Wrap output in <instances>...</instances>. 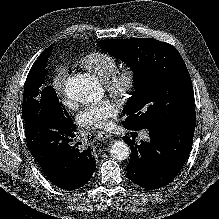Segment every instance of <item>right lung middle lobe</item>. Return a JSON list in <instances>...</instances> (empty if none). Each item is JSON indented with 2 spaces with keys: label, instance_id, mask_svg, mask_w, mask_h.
I'll return each mask as SVG.
<instances>
[{
  "label": "right lung middle lobe",
  "instance_id": "dd1d6c3e",
  "mask_svg": "<svg viewBox=\"0 0 219 219\" xmlns=\"http://www.w3.org/2000/svg\"><path fill=\"white\" fill-rule=\"evenodd\" d=\"M53 45L42 52L29 71L24 86L22 112L24 120H27L34 113L45 111L59 115L64 123L69 124L72 123V119L62 103L59 102L54 89L49 86L41 87Z\"/></svg>",
  "mask_w": 219,
  "mask_h": 219
}]
</instances>
